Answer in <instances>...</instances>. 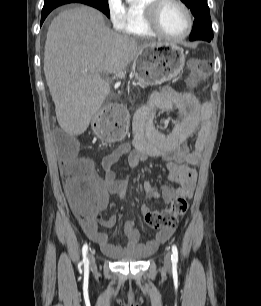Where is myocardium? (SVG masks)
<instances>
[{
  "label": "myocardium",
  "instance_id": "myocardium-1",
  "mask_svg": "<svg viewBox=\"0 0 261 306\" xmlns=\"http://www.w3.org/2000/svg\"><path fill=\"white\" fill-rule=\"evenodd\" d=\"M168 2H172L177 4L184 12L186 19H187V28L183 35L181 36H170L166 34L162 28L159 25L158 22V13L160 8ZM145 15H146V21L150 29L158 36L169 40L173 42H178L186 39L193 28V19L192 14L188 6L182 1V0H151L146 6H145Z\"/></svg>",
  "mask_w": 261,
  "mask_h": 306
}]
</instances>
